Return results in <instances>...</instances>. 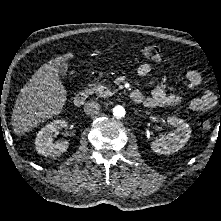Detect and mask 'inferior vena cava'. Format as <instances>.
Masks as SVG:
<instances>
[{"label":"inferior vena cava","mask_w":221,"mask_h":221,"mask_svg":"<svg viewBox=\"0 0 221 221\" xmlns=\"http://www.w3.org/2000/svg\"><path fill=\"white\" fill-rule=\"evenodd\" d=\"M100 104L97 101H87L84 105V112L88 115H95L100 110Z\"/></svg>","instance_id":"obj_1"}]
</instances>
